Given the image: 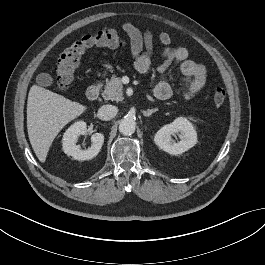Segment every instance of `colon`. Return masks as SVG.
I'll use <instances>...</instances> for the list:
<instances>
[{
  "label": "colon",
  "mask_w": 265,
  "mask_h": 265,
  "mask_svg": "<svg viewBox=\"0 0 265 265\" xmlns=\"http://www.w3.org/2000/svg\"><path fill=\"white\" fill-rule=\"evenodd\" d=\"M123 43V37L114 30H100L82 36L64 49L58 57L55 66L57 86L65 90L72 84L81 59L87 50L95 47L114 48ZM225 100L226 91L220 83H217L213 89V101L216 106H221Z\"/></svg>",
  "instance_id": "5ec220e1"
}]
</instances>
